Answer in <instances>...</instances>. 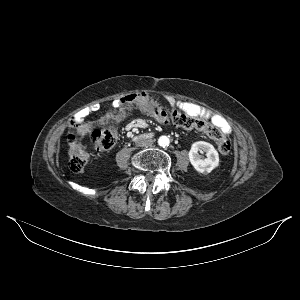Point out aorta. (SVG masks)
I'll use <instances>...</instances> for the list:
<instances>
[{
	"label": "aorta",
	"instance_id": "obj_1",
	"mask_svg": "<svg viewBox=\"0 0 300 300\" xmlns=\"http://www.w3.org/2000/svg\"><path fill=\"white\" fill-rule=\"evenodd\" d=\"M158 144L161 147H168L170 144V140L167 136H160L158 139Z\"/></svg>",
	"mask_w": 300,
	"mask_h": 300
}]
</instances>
